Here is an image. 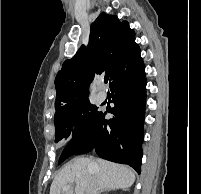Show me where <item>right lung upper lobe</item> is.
Masks as SVG:
<instances>
[{
    "label": "right lung upper lobe",
    "instance_id": "1",
    "mask_svg": "<svg viewBox=\"0 0 201 194\" xmlns=\"http://www.w3.org/2000/svg\"><path fill=\"white\" fill-rule=\"evenodd\" d=\"M140 59L135 32L128 22L101 13L91 25L88 46L82 45L74 57L66 60L55 78V119L67 116L88 100L89 83L95 73L105 72L111 85Z\"/></svg>",
    "mask_w": 201,
    "mask_h": 194
}]
</instances>
